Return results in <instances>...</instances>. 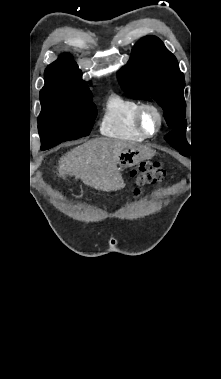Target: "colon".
I'll list each match as a JSON object with an SVG mask.
<instances>
[{
	"instance_id": "obj_1",
	"label": "colon",
	"mask_w": 221,
	"mask_h": 379,
	"mask_svg": "<svg viewBox=\"0 0 221 379\" xmlns=\"http://www.w3.org/2000/svg\"><path fill=\"white\" fill-rule=\"evenodd\" d=\"M131 174L136 184L135 193L137 194L140 186L162 181L167 172L160 163L144 162L135 168Z\"/></svg>"
}]
</instances>
